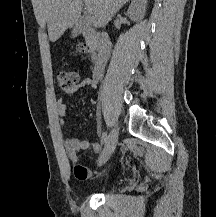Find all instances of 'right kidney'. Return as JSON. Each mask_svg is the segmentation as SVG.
<instances>
[{
	"label": "right kidney",
	"mask_w": 216,
	"mask_h": 217,
	"mask_svg": "<svg viewBox=\"0 0 216 217\" xmlns=\"http://www.w3.org/2000/svg\"><path fill=\"white\" fill-rule=\"evenodd\" d=\"M147 0H133L130 4L127 15L133 21H140L145 16Z\"/></svg>",
	"instance_id": "obj_1"
}]
</instances>
